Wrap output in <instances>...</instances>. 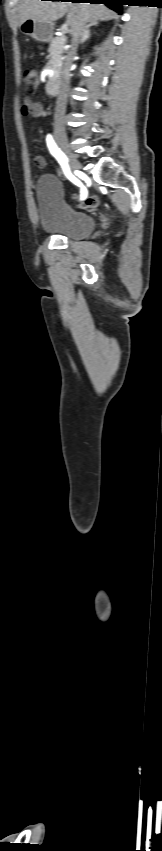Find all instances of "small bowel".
<instances>
[{
	"label": "small bowel",
	"instance_id": "obj_1",
	"mask_svg": "<svg viewBox=\"0 0 162 851\" xmlns=\"http://www.w3.org/2000/svg\"><path fill=\"white\" fill-rule=\"evenodd\" d=\"M22 112L24 114L30 113L32 116L37 118H43L47 115V111L41 103L33 102L29 99L24 100ZM34 164L37 168L43 169L46 167L47 163L43 156L36 155L34 157Z\"/></svg>",
	"mask_w": 162,
	"mask_h": 851
}]
</instances>
